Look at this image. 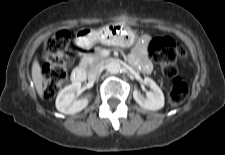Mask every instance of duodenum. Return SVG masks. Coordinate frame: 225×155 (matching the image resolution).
I'll return each instance as SVG.
<instances>
[{"label": "duodenum", "mask_w": 225, "mask_h": 155, "mask_svg": "<svg viewBox=\"0 0 225 155\" xmlns=\"http://www.w3.org/2000/svg\"><path fill=\"white\" fill-rule=\"evenodd\" d=\"M86 79V72L82 66L75 68L71 75V80L74 83H81Z\"/></svg>", "instance_id": "1"}]
</instances>
